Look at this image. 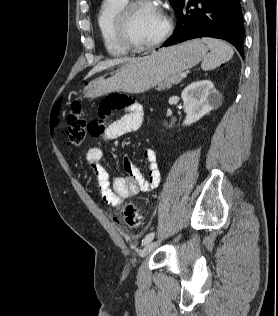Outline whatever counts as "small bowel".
I'll list each match as a JSON object with an SVG mask.
<instances>
[{
  "mask_svg": "<svg viewBox=\"0 0 278 316\" xmlns=\"http://www.w3.org/2000/svg\"><path fill=\"white\" fill-rule=\"evenodd\" d=\"M114 109L124 111V115L107 126H104L101 121H93V127L99 130L98 134L93 136L114 139L135 132L141 127L144 114L142 104L120 95L109 96L101 103L102 114H107ZM143 157L148 164L146 176L130 157L125 156L123 167L126 175L116 177L111 183L109 173L102 164L101 149L96 146L87 149L85 162L96 176L100 195L107 204L118 207L125 199L140 192H149L158 186L160 171L155 151L147 148L143 152Z\"/></svg>",
  "mask_w": 278,
  "mask_h": 316,
  "instance_id": "small-bowel-1",
  "label": "small bowel"
}]
</instances>
